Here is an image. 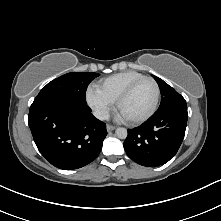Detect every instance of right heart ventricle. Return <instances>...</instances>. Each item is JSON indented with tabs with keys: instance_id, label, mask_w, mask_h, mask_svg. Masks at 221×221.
<instances>
[{
	"instance_id": "1",
	"label": "right heart ventricle",
	"mask_w": 221,
	"mask_h": 221,
	"mask_svg": "<svg viewBox=\"0 0 221 221\" xmlns=\"http://www.w3.org/2000/svg\"><path fill=\"white\" fill-rule=\"evenodd\" d=\"M143 74L137 71H125L102 79L96 89L112 103L116 102L126 87Z\"/></svg>"
}]
</instances>
